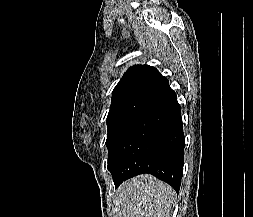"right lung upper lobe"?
Instances as JSON below:
<instances>
[{"mask_svg":"<svg viewBox=\"0 0 253 217\" xmlns=\"http://www.w3.org/2000/svg\"><path fill=\"white\" fill-rule=\"evenodd\" d=\"M169 89L168 80L156 68L135 65L128 69L114 88L111 106L133 100L151 103Z\"/></svg>","mask_w":253,"mask_h":217,"instance_id":"1","label":"right lung upper lobe"}]
</instances>
